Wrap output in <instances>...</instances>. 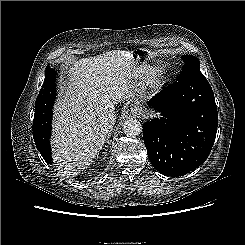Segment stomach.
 <instances>
[{"mask_svg": "<svg viewBox=\"0 0 245 245\" xmlns=\"http://www.w3.org/2000/svg\"><path fill=\"white\" fill-rule=\"evenodd\" d=\"M131 53L137 62L142 59H149L152 56L151 50L147 48H136Z\"/></svg>", "mask_w": 245, "mask_h": 245, "instance_id": "stomach-1", "label": "stomach"}]
</instances>
